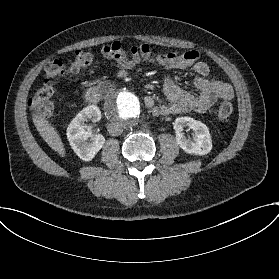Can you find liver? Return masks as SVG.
<instances>
[{"label": "liver", "mask_w": 279, "mask_h": 279, "mask_svg": "<svg viewBox=\"0 0 279 279\" xmlns=\"http://www.w3.org/2000/svg\"><path fill=\"white\" fill-rule=\"evenodd\" d=\"M33 123L40 136L49 145V147L56 151L60 156L64 157V144L55 128L52 127L48 121L36 115L33 116Z\"/></svg>", "instance_id": "6515ba94"}]
</instances>
